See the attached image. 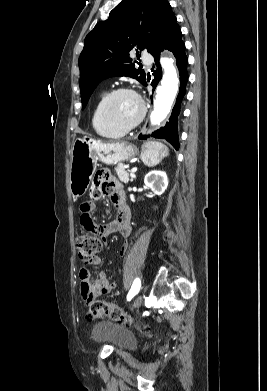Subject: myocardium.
<instances>
[{"mask_svg": "<svg viewBox=\"0 0 267 391\" xmlns=\"http://www.w3.org/2000/svg\"><path fill=\"white\" fill-rule=\"evenodd\" d=\"M123 93H128V94L133 95L138 100V102L140 104V113H139L138 117L132 123H130L128 125H122V124L118 123L113 118V116L111 114V103H112L113 99L117 95L123 94ZM102 111H103L104 119L111 127L125 133V132L131 131L132 129L137 127L143 121L145 114H146V105H145V102L142 99V97L135 90L128 88V87H118L116 89H113L112 91H110L106 95L105 100L103 102Z\"/></svg>", "mask_w": 267, "mask_h": 391, "instance_id": "obj_1", "label": "myocardium"}]
</instances>
